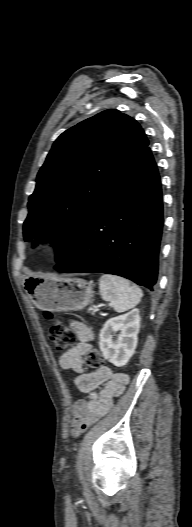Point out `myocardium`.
<instances>
[{"label": "myocardium", "mask_w": 192, "mask_h": 527, "mask_svg": "<svg viewBox=\"0 0 192 527\" xmlns=\"http://www.w3.org/2000/svg\"><path fill=\"white\" fill-rule=\"evenodd\" d=\"M43 244L47 249H52L57 245V238L54 236H49L44 239Z\"/></svg>", "instance_id": "myocardium-1"}]
</instances>
